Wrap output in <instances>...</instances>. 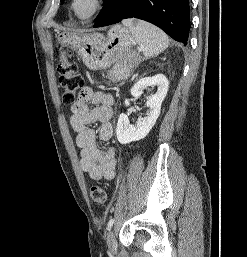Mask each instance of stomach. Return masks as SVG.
I'll return each instance as SVG.
<instances>
[{"mask_svg":"<svg viewBox=\"0 0 247 257\" xmlns=\"http://www.w3.org/2000/svg\"><path fill=\"white\" fill-rule=\"evenodd\" d=\"M58 44L75 50L83 63L92 70L103 69L112 64L126 67L124 74H113L117 80L126 78L138 62L132 50L133 37L127 27L113 26L104 36L101 33L73 35L61 33L56 36Z\"/></svg>","mask_w":247,"mask_h":257,"instance_id":"obj_1","label":"stomach"}]
</instances>
